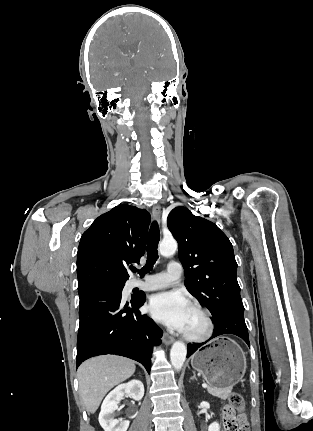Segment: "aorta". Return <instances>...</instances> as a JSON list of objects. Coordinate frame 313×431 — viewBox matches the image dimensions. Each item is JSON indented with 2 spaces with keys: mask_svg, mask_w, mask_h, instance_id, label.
Here are the masks:
<instances>
[{
  "mask_svg": "<svg viewBox=\"0 0 313 431\" xmlns=\"http://www.w3.org/2000/svg\"><path fill=\"white\" fill-rule=\"evenodd\" d=\"M177 250V242L174 239H164L159 245V252L164 257L172 256ZM187 354V348L184 343L177 341L172 345L170 351V361L172 366L181 370Z\"/></svg>",
  "mask_w": 313,
  "mask_h": 431,
  "instance_id": "aorta-1",
  "label": "aorta"
}]
</instances>
